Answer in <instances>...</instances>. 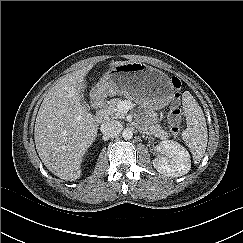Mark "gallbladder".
<instances>
[{
  "instance_id": "bac80fb5",
  "label": "gallbladder",
  "mask_w": 243,
  "mask_h": 243,
  "mask_svg": "<svg viewBox=\"0 0 243 243\" xmlns=\"http://www.w3.org/2000/svg\"><path fill=\"white\" fill-rule=\"evenodd\" d=\"M85 106V108L88 110L89 105L88 104H83Z\"/></svg>"
}]
</instances>
